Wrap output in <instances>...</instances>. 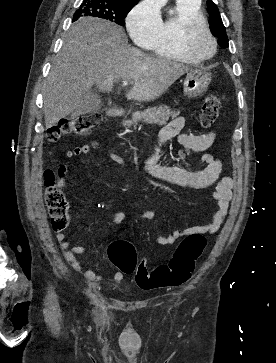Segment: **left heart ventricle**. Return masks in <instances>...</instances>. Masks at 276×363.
<instances>
[{"label":"left heart ventricle","mask_w":276,"mask_h":363,"mask_svg":"<svg viewBox=\"0 0 276 363\" xmlns=\"http://www.w3.org/2000/svg\"><path fill=\"white\" fill-rule=\"evenodd\" d=\"M191 48L200 55H208L212 51V43L203 30H198L190 39Z\"/></svg>","instance_id":"b2bd125f"}]
</instances>
